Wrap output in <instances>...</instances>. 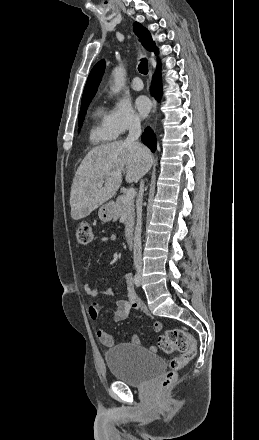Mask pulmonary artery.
<instances>
[{
    "instance_id": "obj_1",
    "label": "pulmonary artery",
    "mask_w": 259,
    "mask_h": 440,
    "mask_svg": "<svg viewBox=\"0 0 259 440\" xmlns=\"http://www.w3.org/2000/svg\"><path fill=\"white\" fill-rule=\"evenodd\" d=\"M131 87L136 91L142 90L143 89V82H142L141 78L134 77L131 82Z\"/></svg>"
}]
</instances>
